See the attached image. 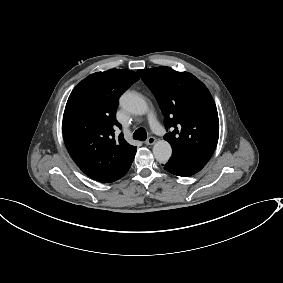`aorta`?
I'll return each mask as SVG.
<instances>
[{
	"label": "aorta",
	"mask_w": 283,
	"mask_h": 283,
	"mask_svg": "<svg viewBox=\"0 0 283 283\" xmlns=\"http://www.w3.org/2000/svg\"><path fill=\"white\" fill-rule=\"evenodd\" d=\"M120 106L124 110L136 115H143L148 110L146 101L133 92H125L120 97ZM153 154L158 162L166 163L172 155V148L167 141L159 140L153 146Z\"/></svg>",
	"instance_id": "762f6f07"
}]
</instances>
